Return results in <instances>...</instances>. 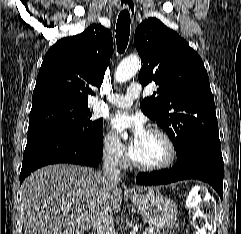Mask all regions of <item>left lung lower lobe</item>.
I'll list each match as a JSON object with an SVG mask.
<instances>
[{
	"label": "left lung lower lobe",
	"instance_id": "obj_1",
	"mask_svg": "<svg viewBox=\"0 0 241 234\" xmlns=\"http://www.w3.org/2000/svg\"><path fill=\"white\" fill-rule=\"evenodd\" d=\"M177 159L178 162L169 170L140 173L136 182L141 185H160L185 179H199L209 183L223 199L224 163L221 147L193 146Z\"/></svg>",
	"mask_w": 241,
	"mask_h": 234
}]
</instances>
